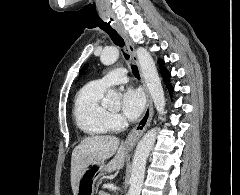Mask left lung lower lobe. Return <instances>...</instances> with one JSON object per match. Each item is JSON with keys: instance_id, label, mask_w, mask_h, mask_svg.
Segmentation results:
<instances>
[{"instance_id": "1", "label": "left lung lower lobe", "mask_w": 240, "mask_h": 195, "mask_svg": "<svg viewBox=\"0 0 240 195\" xmlns=\"http://www.w3.org/2000/svg\"><path fill=\"white\" fill-rule=\"evenodd\" d=\"M158 63L160 65V72H161V75H162V77L164 79V82H165L169 92L172 93L173 92V88H172L171 84L169 83V78H170L171 74L163 66L164 61L162 59H158Z\"/></svg>"}]
</instances>
